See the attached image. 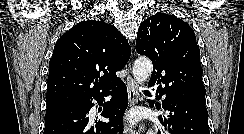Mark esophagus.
Returning a JSON list of instances; mask_svg holds the SVG:
<instances>
[{
	"mask_svg": "<svg viewBox=\"0 0 244 134\" xmlns=\"http://www.w3.org/2000/svg\"><path fill=\"white\" fill-rule=\"evenodd\" d=\"M126 85H127L128 95H129L130 107H133L139 101V92H138L137 84L131 74V61L128 64V75L126 78ZM125 134H138V129L130 124H126Z\"/></svg>",
	"mask_w": 244,
	"mask_h": 134,
	"instance_id": "34e87169",
	"label": "esophagus"
}]
</instances>
